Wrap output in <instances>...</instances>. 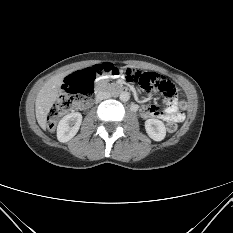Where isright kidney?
Listing matches in <instances>:
<instances>
[{"instance_id": "obj_1", "label": "right kidney", "mask_w": 233, "mask_h": 233, "mask_svg": "<svg viewBox=\"0 0 233 233\" xmlns=\"http://www.w3.org/2000/svg\"><path fill=\"white\" fill-rule=\"evenodd\" d=\"M82 122V115L79 112H72L64 116L57 126V139L60 142L71 140L78 132Z\"/></svg>"}]
</instances>
